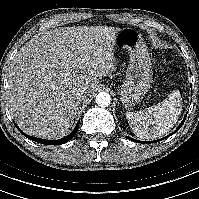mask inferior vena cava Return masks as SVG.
<instances>
[{"label": "inferior vena cava", "mask_w": 199, "mask_h": 199, "mask_svg": "<svg viewBox=\"0 0 199 199\" xmlns=\"http://www.w3.org/2000/svg\"><path fill=\"white\" fill-rule=\"evenodd\" d=\"M72 96L77 101H82L84 99V91L82 89H73Z\"/></svg>", "instance_id": "602c4592"}]
</instances>
